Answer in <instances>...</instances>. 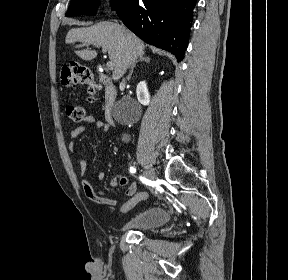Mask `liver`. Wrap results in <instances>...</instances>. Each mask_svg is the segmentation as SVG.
<instances>
[{"label":"liver","mask_w":288,"mask_h":280,"mask_svg":"<svg viewBox=\"0 0 288 280\" xmlns=\"http://www.w3.org/2000/svg\"><path fill=\"white\" fill-rule=\"evenodd\" d=\"M66 44L83 42L106 49L113 63L112 79L118 81L137 58L144 54V43L131 31L117 23L104 21L90 27L73 28L65 39ZM83 60L97 56L95 50L76 51Z\"/></svg>","instance_id":"liver-1"}]
</instances>
